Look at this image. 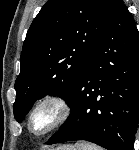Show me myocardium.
<instances>
[{"mask_svg": "<svg viewBox=\"0 0 139 150\" xmlns=\"http://www.w3.org/2000/svg\"><path fill=\"white\" fill-rule=\"evenodd\" d=\"M49 108L53 111V119L50 124L42 131L35 132L32 128V122L36 114ZM72 108L66 97L60 94H48L39 99L31 108L27 117V130L35 137H43L61 127L70 117Z\"/></svg>", "mask_w": 139, "mask_h": 150, "instance_id": "f54148a6", "label": "myocardium"}]
</instances>
